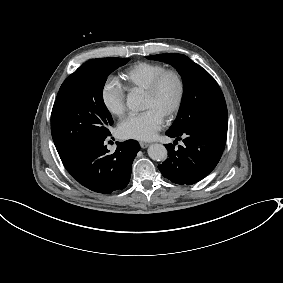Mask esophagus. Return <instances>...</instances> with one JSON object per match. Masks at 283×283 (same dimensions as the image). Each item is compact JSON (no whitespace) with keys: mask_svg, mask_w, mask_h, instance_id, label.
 Returning <instances> with one entry per match:
<instances>
[{"mask_svg":"<svg viewBox=\"0 0 283 283\" xmlns=\"http://www.w3.org/2000/svg\"><path fill=\"white\" fill-rule=\"evenodd\" d=\"M150 144L146 142H140L141 148H147Z\"/></svg>","mask_w":283,"mask_h":283,"instance_id":"obj_1","label":"esophagus"}]
</instances>
